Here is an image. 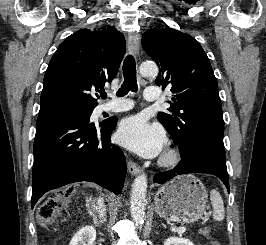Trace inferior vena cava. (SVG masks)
Listing matches in <instances>:
<instances>
[{
	"instance_id": "inferior-vena-cava-1",
	"label": "inferior vena cava",
	"mask_w": 266,
	"mask_h": 245,
	"mask_svg": "<svg viewBox=\"0 0 266 245\" xmlns=\"http://www.w3.org/2000/svg\"><path fill=\"white\" fill-rule=\"evenodd\" d=\"M97 209H99L100 217H105L106 207H105V205L103 203V199H101V197H99V199H98Z\"/></svg>"
}]
</instances>
